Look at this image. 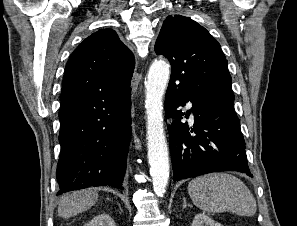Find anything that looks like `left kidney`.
I'll return each instance as SVG.
<instances>
[{
    "label": "left kidney",
    "instance_id": "left-kidney-1",
    "mask_svg": "<svg viewBox=\"0 0 297 226\" xmlns=\"http://www.w3.org/2000/svg\"><path fill=\"white\" fill-rule=\"evenodd\" d=\"M191 226H223L222 224L215 222L205 213H198L195 215Z\"/></svg>",
    "mask_w": 297,
    "mask_h": 226
}]
</instances>
